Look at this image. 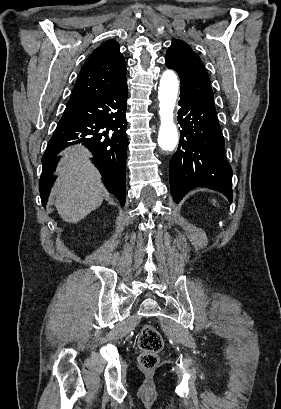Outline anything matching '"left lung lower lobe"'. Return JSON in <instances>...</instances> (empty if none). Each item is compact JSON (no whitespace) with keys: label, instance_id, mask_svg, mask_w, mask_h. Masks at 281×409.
Instances as JSON below:
<instances>
[{"label":"left lung lower lobe","instance_id":"obj_1","mask_svg":"<svg viewBox=\"0 0 281 409\" xmlns=\"http://www.w3.org/2000/svg\"><path fill=\"white\" fill-rule=\"evenodd\" d=\"M177 151L169 163L170 191L178 203L194 187H208L232 202V169L224 154V138L215 107L193 94H180Z\"/></svg>","mask_w":281,"mask_h":409}]
</instances>
